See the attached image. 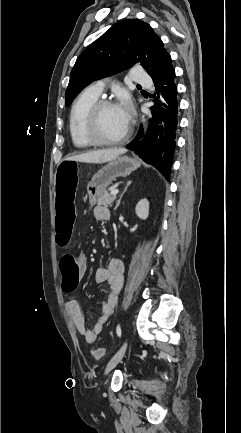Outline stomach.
Wrapping results in <instances>:
<instances>
[{
  "label": "stomach",
  "instance_id": "obj_1",
  "mask_svg": "<svg viewBox=\"0 0 241 433\" xmlns=\"http://www.w3.org/2000/svg\"><path fill=\"white\" fill-rule=\"evenodd\" d=\"M140 166L137 159L120 156L102 167L87 186L89 201L93 205L97 198L119 177H126Z\"/></svg>",
  "mask_w": 241,
  "mask_h": 433
}]
</instances>
